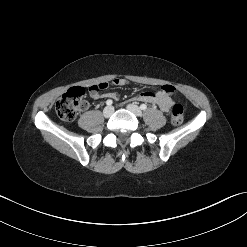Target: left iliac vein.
Returning <instances> with one entry per match:
<instances>
[{
  "label": "left iliac vein",
  "instance_id": "obj_1",
  "mask_svg": "<svg viewBox=\"0 0 247 247\" xmlns=\"http://www.w3.org/2000/svg\"><path fill=\"white\" fill-rule=\"evenodd\" d=\"M127 109L131 111L133 114H135L136 116H140L142 114L140 108L135 104H128Z\"/></svg>",
  "mask_w": 247,
  "mask_h": 247
}]
</instances>
